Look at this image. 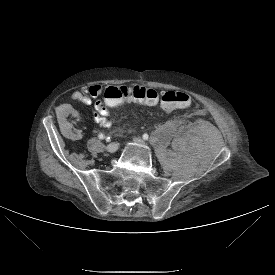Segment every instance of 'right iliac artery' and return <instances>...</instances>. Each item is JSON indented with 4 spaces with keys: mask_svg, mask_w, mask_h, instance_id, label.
Listing matches in <instances>:
<instances>
[{
    "mask_svg": "<svg viewBox=\"0 0 275 275\" xmlns=\"http://www.w3.org/2000/svg\"><path fill=\"white\" fill-rule=\"evenodd\" d=\"M98 138H99V139H104V138H105V135L99 134V135H98ZM106 139H107V141H109L110 137H107Z\"/></svg>",
    "mask_w": 275,
    "mask_h": 275,
    "instance_id": "82829eb1",
    "label": "right iliac artery"
}]
</instances>
